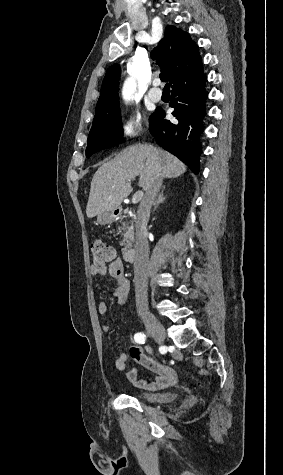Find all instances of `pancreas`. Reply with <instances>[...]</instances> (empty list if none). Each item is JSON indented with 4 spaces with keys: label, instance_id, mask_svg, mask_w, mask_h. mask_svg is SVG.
I'll return each instance as SVG.
<instances>
[{
    "label": "pancreas",
    "instance_id": "1",
    "mask_svg": "<svg viewBox=\"0 0 283 475\" xmlns=\"http://www.w3.org/2000/svg\"><path fill=\"white\" fill-rule=\"evenodd\" d=\"M123 218H120V228L118 230H123L125 234H123L124 238L122 241H120V245H124L122 247V253H126L128 251L129 247H132V241H134V226H133V220H130V222H122Z\"/></svg>",
    "mask_w": 283,
    "mask_h": 475
}]
</instances>
